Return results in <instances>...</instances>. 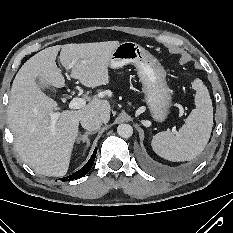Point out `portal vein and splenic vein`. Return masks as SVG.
<instances>
[{"label":"portal vein and splenic vein","instance_id":"obj_1","mask_svg":"<svg viewBox=\"0 0 233 233\" xmlns=\"http://www.w3.org/2000/svg\"><path fill=\"white\" fill-rule=\"evenodd\" d=\"M74 65V62H72L69 66V68H71ZM86 104V101L82 98L79 97H75L71 100V102L69 103V108L70 109H80L82 107H84ZM60 113L59 112H55L51 115V122L52 125L54 126V124L56 123L58 117H59Z\"/></svg>","mask_w":233,"mask_h":233}]
</instances>
